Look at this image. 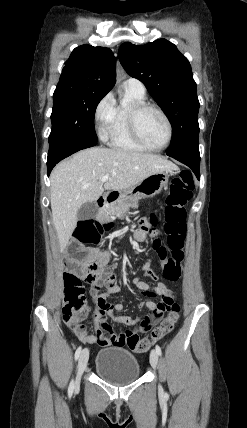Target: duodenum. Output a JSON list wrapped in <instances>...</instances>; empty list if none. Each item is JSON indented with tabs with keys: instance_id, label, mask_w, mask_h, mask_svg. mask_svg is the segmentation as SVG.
Here are the masks:
<instances>
[{
	"instance_id": "410a0bca",
	"label": "duodenum",
	"mask_w": 247,
	"mask_h": 428,
	"mask_svg": "<svg viewBox=\"0 0 247 428\" xmlns=\"http://www.w3.org/2000/svg\"><path fill=\"white\" fill-rule=\"evenodd\" d=\"M116 195L114 193L112 194H105L98 198L97 204L99 207L103 208L107 206L112 200H114Z\"/></svg>"
}]
</instances>
